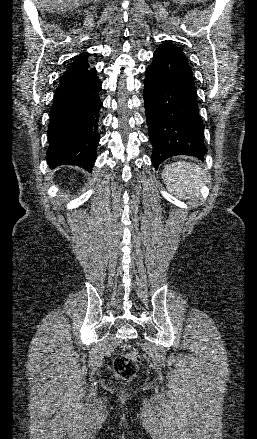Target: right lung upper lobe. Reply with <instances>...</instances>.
I'll return each mask as SVG.
<instances>
[{"label":"right lung upper lobe","mask_w":257,"mask_h":439,"mask_svg":"<svg viewBox=\"0 0 257 439\" xmlns=\"http://www.w3.org/2000/svg\"><path fill=\"white\" fill-rule=\"evenodd\" d=\"M89 64L87 63V56L82 53L76 60L71 64V66L66 70V72L61 77V82L73 79L86 71H88Z\"/></svg>","instance_id":"right-lung-upper-lobe-1"}]
</instances>
